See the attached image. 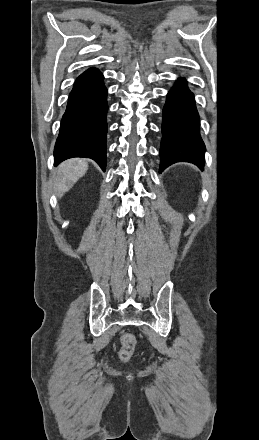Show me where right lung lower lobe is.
<instances>
[{"instance_id": "1", "label": "right lung lower lobe", "mask_w": 259, "mask_h": 440, "mask_svg": "<svg viewBox=\"0 0 259 440\" xmlns=\"http://www.w3.org/2000/svg\"><path fill=\"white\" fill-rule=\"evenodd\" d=\"M107 89L103 75L90 68L75 81L54 148V165L86 157L106 168Z\"/></svg>"}]
</instances>
